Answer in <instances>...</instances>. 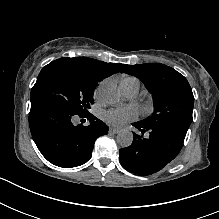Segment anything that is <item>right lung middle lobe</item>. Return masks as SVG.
Listing matches in <instances>:
<instances>
[{
    "instance_id": "right-lung-middle-lobe-1",
    "label": "right lung middle lobe",
    "mask_w": 219,
    "mask_h": 219,
    "mask_svg": "<svg viewBox=\"0 0 219 219\" xmlns=\"http://www.w3.org/2000/svg\"><path fill=\"white\" fill-rule=\"evenodd\" d=\"M101 79L77 64L55 60L38 75L31 90V103L48 102L74 115L89 114L93 93Z\"/></svg>"
}]
</instances>
